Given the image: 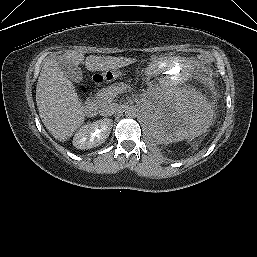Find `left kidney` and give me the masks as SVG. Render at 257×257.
<instances>
[{
    "label": "left kidney",
    "instance_id": "5707ae66",
    "mask_svg": "<svg viewBox=\"0 0 257 257\" xmlns=\"http://www.w3.org/2000/svg\"><path fill=\"white\" fill-rule=\"evenodd\" d=\"M143 118L148 133L162 144L192 139L209 127L208 106L203 97L180 88L149 97Z\"/></svg>",
    "mask_w": 257,
    "mask_h": 257
}]
</instances>
